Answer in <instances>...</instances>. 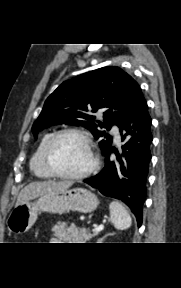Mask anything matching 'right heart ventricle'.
Segmentation results:
<instances>
[{"instance_id": "1", "label": "right heart ventricle", "mask_w": 181, "mask_h": 288, "mask_svg": "<svg viewBox=\"0 0 181 288\" xmlns=\"http://www.w3.org/2000/svg\"><path fill=\"white\" fill-rule=\"evenodd\" d=\"M52 136L53 133H47L43 136L30 159V169L34 176L39 179H52L56 177L47 169L43 158L45 148Z\"/></svg>"}]
</instances>
